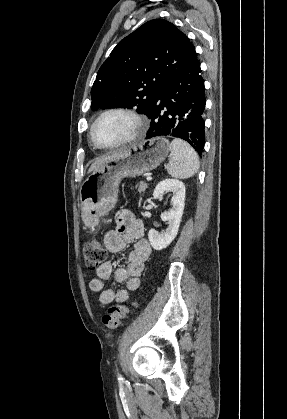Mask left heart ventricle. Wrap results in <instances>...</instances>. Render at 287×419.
I'll return each mask as SVG.
<instances>
[{"label":"left heart ventricle","instance_id":"left-heart-ventricle-1","mask_svg":"<svg viewBox=\"0 0 287 419\" xmlns=\"http://www.w3.org/2000/svg\"><path fill=\"white\" fill-rule=\"evenodd\" d=\"M135 130V123L123 114H110L102 118L94 130L95 138L102 144H115L129 136Z\"/></svg>","mask_w":287,"mask_h":419}]
</instances>
